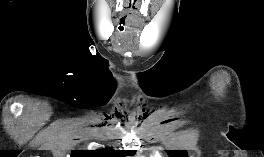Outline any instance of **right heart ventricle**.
I'll list each match as a JSON object with an SVG mask.
<instances>
[{
    "label": "right heart ventricle",
    "instance_id": "right-heart-ventricle-1",
    "mask_svg": "<svg viewBox=\"0 0 264 157\" xmlns=\"http://www.w3.org/2000/svg\"><path fill=\"white\" fill-rule=\"evenodd\" d=\"M154 157H160V156L156 155V156H154Z\"/></svg>",
    "mask_w": 264,
    "mask_h": 157
}]
</instances>
